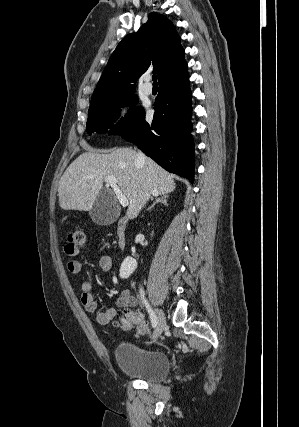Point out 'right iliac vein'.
Masks as SVG:
<instances>
[{
  "label": "right iliac vein",
  "instance_id": "obj_1",
  "mask_svg": "<svg viewBox=\"0 0 299 427\" xmlns=\"http://www.w3.org/2000/svg\"><path fill=\"white\" fill-rule=\"evenodd\" d=\"M165 327H166L165 315L162 310H159L158 321L153 333V339H157L163 333Z\"/></svg>",
  "mask_w": 299,
  "mask_h": 427
}]
</instances>
